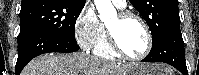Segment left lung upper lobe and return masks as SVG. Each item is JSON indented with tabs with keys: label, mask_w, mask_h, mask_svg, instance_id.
Here are the masks:
<instances>
[{
	"label": "left lung upper lobe",
	"mask_w": 199,
	"mask_h": 75,
	"mask_svg": "<svg viewBox=\"0 0 199 75\" xmlns=\"http://www.w3.org/2000/svg\"><path fill=\"white\" fill-rule=\"evenodd\" d=\"M147 22L152 44L158 42L168 30L180 26L178 0H130Z\"/></svg>",
	"instance_id": "5c2ea615"
}]
</instances>
